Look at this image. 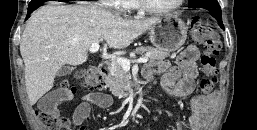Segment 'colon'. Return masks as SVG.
Instances as JSON below:
<instances>
[{
	"mask_svg": "<svg viewBox=\"0 0 257 130\" xmlns=\"http://www.w3.org/2000/svg\"><path fill=\"white\" fill-rule=\"evenodd\" d=\"M191 33L195 41L203 43L200 63L204 76L200 81V89L203 94L208 95L214 90L217 82L216 56L221 50V42L211 26L199 18L192 20ZM76 80L79 87L87 92H95L102 86V77L94 67L78 71ZM75 92L76 87L71 86L68 81H64L58 95L63 100H69ZM37 118L45 130H71L69 120L55 108L39 109Z\"/></svg>",
	"mask_w": 257,
	"mask_h": 130,
	"instance_id": "colon-1",
	"label": "colon"
}]
</instances>
